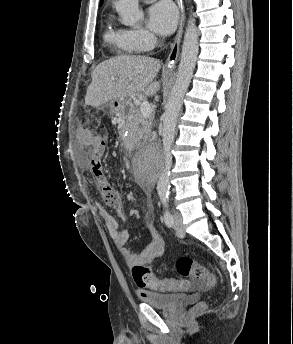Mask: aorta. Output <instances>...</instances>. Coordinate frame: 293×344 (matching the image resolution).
Returning <instances> with one entry per match:
<instances>
[{"label": "aorta", "mask_w": 293, "mask_h": 344, "mask_svg": "<svg viewBox=\"0 0 293 344\" xmlns=\"http://www.w3.org/2000/svg\"><path fill=\"white\" fill-rule=\"evenodd\" d=\"M115 6L116 11L121 17L122 23L126 26H134L143 18V12L139 9L138 0H118ZM198 41L199 37L195 20L190 16L184 35L181 60L178 66L176 80L172 87L165 112L162 115L164 166L157 183V192L160 197H166L169 193V173L172 165L171 147L174 142L177 119L182 108L183 99L191 82L196 65L199 51ZM139 165L148 168L153 166V162L148 160L146 156H141Z\"/></svg>", "instance_id": "1"}]
</instances>
